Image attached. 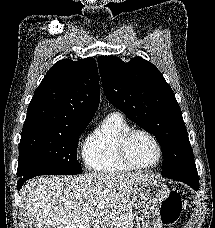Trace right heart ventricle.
Wrapping results in <instances>:
<instances>
[{
  "label": "right heart ventricle",
  "mask_w": 215,
  "mask_h": 228,
  "mask_svg": "<svg viewBox=\"0 0 215 228\" xmlns=\"http://www.w3.org/2000/svg\"><path fill=\"white\" fill-rule=\"evenodd\" d=\"M131 125L120 112L104 117L99 126L84 140L82 156L86 167L101 174H118L129 171L118 155V141Z\"/></svg>",
  "instance_id": "1"
}]
</instances>
